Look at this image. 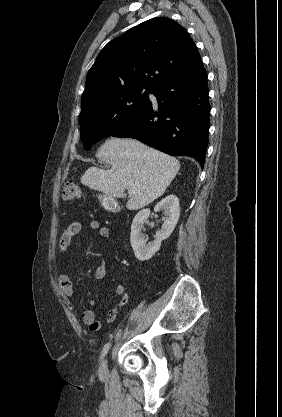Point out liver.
Instances as JSON below:
<instances>
[{
  "label": "liver",
  "instance_id": "1",
  "mask_svg": "<svg viewBox=\"0 0 282 417\" xmlns=\"http://www.w3.org/2000/svg\"><path fill=\"white\" fill-rule=\"evenodd\" d=\"M99 156L112 164V168L103 170L90 166L82 174L80 182L120 198H125L124 190L128 188L132 194L126 204L129 211L143 209L164 194L180 168V162L174 156L150 148L134 138L105 140Z\"/></svg>",
  "mask_w": 282,
  "mask_h": 417
}]
</instances>
